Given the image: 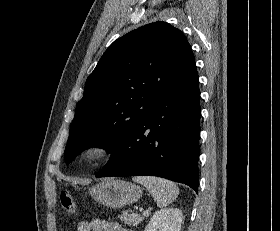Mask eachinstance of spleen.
Wrapping results in <instances>:
<instances>
[{
	"instance_id": "obj_1",
	"label": "spleen",
	"mask_w": 280,
	"mask_h": 231,
	"mask_svg": "<svg viewBox=\"0 0 280 231\" xmlns=\"http://www.w3.org/2000/svg\"><path fill=\"white\" fill-rule=\"evenodd\" d=\"M132 179L142 183V185L149 189V193H152L153 197H155L158 207H165L173 199H176L179 193V187H177L176 183L169 181V179H163V177L137 175V177H132Z\"/></svg>"
}]
</instances>
